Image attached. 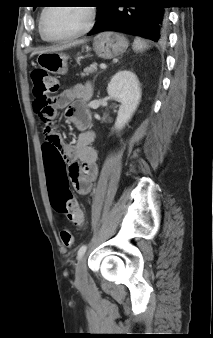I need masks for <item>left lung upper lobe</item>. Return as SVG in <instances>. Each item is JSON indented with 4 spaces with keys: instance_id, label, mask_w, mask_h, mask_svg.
Returning <instances> with one entry per match:
<instances>
[{
    "instance_id": "5c2ea615",
    "label": "left lung upper lobe",
    "mask_w": 213,
    "mask_h": 338,
    "mask_svg": "<svg viewBox=\"0 0 213 338\" xmlns=\"http://www.w3.org/2000/svg\"><path fill=\"white\" fill-rule=\"evenodd\" d=\"M100 2H101V0H97V1H96L97 9H98V10H99V7H100ZM34 8H36V6H35Z\"/></svg>"
}]
</instances>
